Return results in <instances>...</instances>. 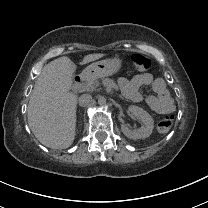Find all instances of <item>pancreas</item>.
<instances>
[{
    "label": "pancreas",
    "instance_id": "cf45deb5",
    "mask_svg": "<svg viewBox=\"0 0 208 208\" xmlns=\"http://www.w3.org/2000/svg\"><path fill=\"white\" fill-rule=\"evenodd\" d=\"M101 83L96 79H90L88 80V83L86 85V91L93 92L101 90L100 88Z\"/></svg>",
    "mask_w": 208,
    "mask_h": 208
}]
</instances>
